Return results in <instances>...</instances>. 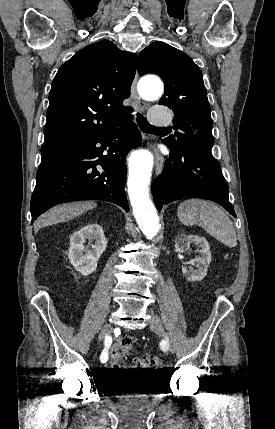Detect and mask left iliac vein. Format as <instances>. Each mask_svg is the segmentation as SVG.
I'll use <instances>...</instances> for the list:
<instances>
[{
  "mask_svg": "<svg viewBox=\"0 0 275 429\" xmlns=\"http://www.w3.org/2000/svg\"><path fill=\"white\" fill-rule=\"evenodd\" d=\"M151 329L157 333L158 335H165V330L163 327V324L161 322V319L156 314H151V318L149 321ZM169 349L171 352H174V347L172 345V342L169 340Z\"/></svg>",
  "mask_w": 275,
  "mask_h": 429,
  "instance_id": "1",
  "label": "left iliac vein"
}]
</instances>
